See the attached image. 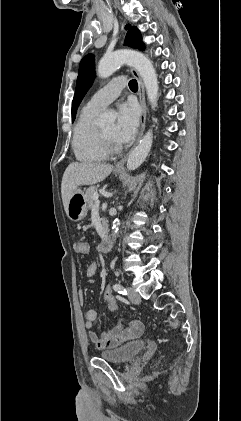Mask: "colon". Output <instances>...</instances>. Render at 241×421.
I'll return each mask as SVG.
<instances>
[{
    "label": "colon",
    "instance_id": "colon-1",
    "mask_svg": "<svg viewBox=\"0 0 241 421\" xmlns=\"http://www.w3.org/2000/svg\"><path fill=\"white\" fill-rule=\"evenodd\" d=\"M75 249L77 253L81 255H86L90 251V245L87 241H78L75 245ZM103 296L108 309L110 311H116L118 308L117 301L110 286L105 287Z\"/></svg>",
    "mask_w": 241,
    "mask_h": 421
}]
</instances>
